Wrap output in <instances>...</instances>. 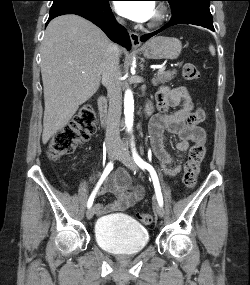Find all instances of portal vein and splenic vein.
Masks as SVG:
<instances>
[{
    "instance_id": "portal-vein-and-splenic-vein-1",
    "label": "portal vein and splenic vein",
    "mask_w": 250,
    "mask_h": 285,
    "mask_svg": "<svg viewBox=\"0 0 250 285\" xmlns=\"http://www.w3.org/2000/svg\"><path fill=\"white\" fill-rule=\"evenodd\" d=\"M164 70H165V66H162V67H160V68L158 69L157 73H158V72H163Z\"/></svg>"
}]
</instances>
